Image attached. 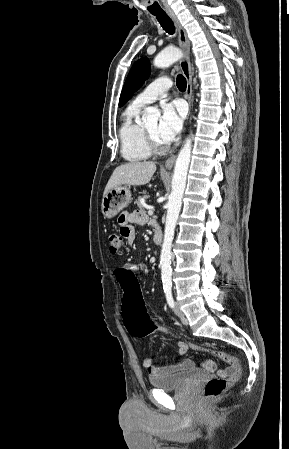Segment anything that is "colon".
Here are the masks:
<instances>
[{"label":"colon","instance_id":"1","mask_svg":"<svg viewBox=\"0 0 289 449\" xmlns=\"http://www.w3.org/2000/svg\"><path fill=\"white\" fill-rule=\"evenodd\" d=\"M108 241L110 252L116 254L124 247L125 239L121 234L112 233L109 235ZM114 275L118 280L120 291L123 292V316L127 330L136 337H144L151 334L173 336L171 331L154 324L147 315L133 269L115 268ZM188 344L193 349L215 355L235 367L234 372L229 376L215 377L207 382L204 388V394L207 398L219 396L242 378L244 365L238 356L193 342H188Z\"/></svg>","mask_w":289,"mask_h":449}]
</instances>
